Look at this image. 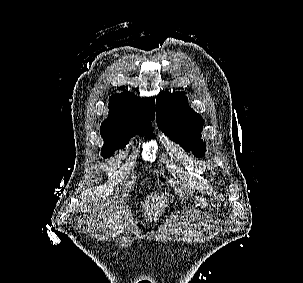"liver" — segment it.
Returning <instances> with one entry per match:
<instances>
[{
	"instance_id": "liver-1",
	"label": "liver",
	"mask_w": 303,
	"mask_h": 283,
	"mask_svg": "<svg viewBox=\"0 0 303 283\" xmlns=\"http://www.w3.org/2000/svg\"><path fill=\"white\" fill-rule=\"evenodd\" d=\"M100 194V192H99ZM151 202H150V198H148L147 202L145 203V205H143V207H145L147 210H149L151 212V214L153 215V218L156 219V214L159 210H163L162 206L165 203V198L163 195L158 196L155 194L154 197H151ZM104 219V216L100 213L97 218H95V223L96 224H101V219Z\"/></svg>"
}]
</instances>
